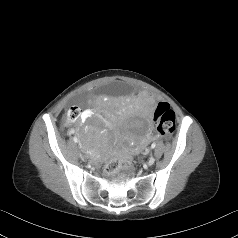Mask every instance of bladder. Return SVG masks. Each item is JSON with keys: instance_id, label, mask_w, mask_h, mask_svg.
<instances>
[{"instance_id": "obj_1", "label": "bladder", "mask_w": 238, "mask_h": 238, "mask_svg": "<svg viewBox=\"0 0 238 238\" xmlns=\"http://www.w3.org/2000/svg\"><path fill=\"white\" fill-rule=\"evenodd\" d=\"M101 92L104 95H117L118 93L120 95H125L128 92V87L125 84H120L119 86L117 84H104L101 87Z\"/></svg>"}]
</instances>
